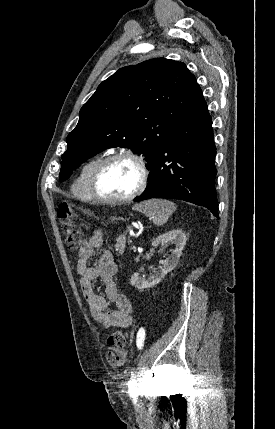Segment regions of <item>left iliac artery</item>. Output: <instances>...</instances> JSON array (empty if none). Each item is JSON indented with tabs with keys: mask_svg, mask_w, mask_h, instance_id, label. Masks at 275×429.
<instances>
[{
	"mask_svg": "<svg viewBox=\"0 0 275 429\" xmlns=\"http://www.w3.org/2000/svg\"><path fill=\"white\" fill-rule=\"evenodd\" d=\"M145 336H146L145 329L143 327H141L137 333V339H136L138 349H141L143 347L144 341H145ZM135 385H136V380H135V377L132 376V378L129 381V387H130V391H131V397L136 400L137 393L135 391Z\"/></svg>",
	"mask_w": 275,
	"mask_h": 429,
	"instance_id": "44dca946",
	"label": "left iliac artery"
}]
</instances>
